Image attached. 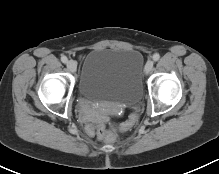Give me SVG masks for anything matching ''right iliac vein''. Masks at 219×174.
Returning a JSON list of instances; mask_svg holds the SVG:
<instances>
[{"label":"right iliac vein","instance_id":"1","mask_svg":"<svg viewBox=\"0 0 219 174\" xmlns=\"http://www.w3.org/2000/svg\"><path fill=\"white\" fill-rule=\"evenodd\" d=\"M67 68L70 72L74 73L77 69V63L74 60H69L67 62Z\"/></svg>","mask_w":219,"mask_h":174}]
</instances>
